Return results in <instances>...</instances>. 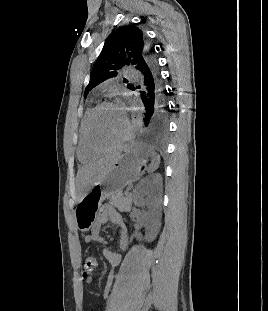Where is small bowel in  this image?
I'll list each match as a JSON object with an SVG mask.
<instances>
[{
  "label": "small bowel",
  "mask_w": 268,
  "mask_h": 311,
  "mask_svg": "<svg viewBox=\"0 0 268 311\" xmlns=\"http://www.w3.org/2000/svg\"><path fill=\"white\" fill-rule=\"evenodd\" d=\"M107 222L112 223L118 230L119 233V246L123 251H126L129 246V237L127 228L122 220L121 215L111 207H104L99 215V218L92 228L91 232L85 237V242L87 244L92 242H98L105 245L103 250V255L105 259L114 267L118 266L122 261V255L120 253L115 252L109 246H107V241L100 234V230L103 225ZM113 275L109 277L108 283L104 290V299L108 300L109 293L112 285ZM86 284H91L93 282L92 275H87L84 278Z\"/></svg>",
  "instance_id": "obj_1"
}]
</instances>
